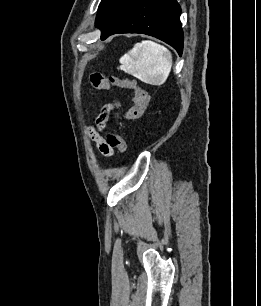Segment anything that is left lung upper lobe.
Masks as SVG:
<instances>
[{
	"mask_svg": "<svg viewBox=\"0 0 261 306\" xmlns=\"http://www.w3.org/2000/svg\"><path fill=\"white\" fill-rule=\"evenodd\" d=\"M133 0H101L96 16V26L101 36L110 32L119 21L125 9Z\"/></svg>",
	"mask_w": 261,
	"mask_h": 306,
	"instance_id": "left-lung-upper-lobe-1",
	"label": "left lung upper lobe"
}]
</instances>
